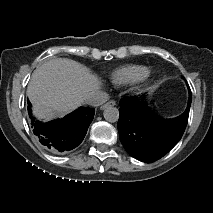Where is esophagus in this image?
<instances>
[{
  "mask_svg": "<svg viewBox=\"0 0 213 213\" xmlns=\"http://www.w3.org/2000/svg\"><path fill=\"white\" fill-rule=\"evenodd\" d=\"M116 105L115 101L111 100L107 102L105 105L101 106V110L105 109L107 106H114Z\"/></svg>",
  "mask_w": 213,
  "mask_h": 213,
  "instance_id": "1",
  "label": "esophagus"
}]
</instances>
